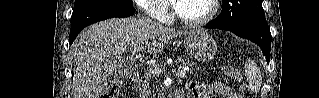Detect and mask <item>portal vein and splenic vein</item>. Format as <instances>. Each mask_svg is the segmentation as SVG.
<instances>
[{"label":"portal vein and splenic vein","mask_w":319,"mask_h":98,"mask_svg":"<svg viewBox=\"0 0 319 98\" xmlns=\"http://www.w3.org/2000/svg\"><path fill=\"white\" fill-rule=\"evenodd\" d=\"M144 49V45H139V46H136L133 50H132V54H137L139 52H141L142 50ZM188 70V67H185L183 70H173V72H175V75L180 77V78H183L186 74V71ZM150 72L154 75H159L162 73L161 69L158 67V66H153L151 69H150Z\"/></svg>","instance_id":"portal-vein-and-splenic-vein-1"}]
</instances>
